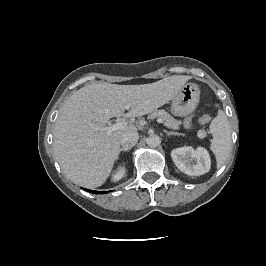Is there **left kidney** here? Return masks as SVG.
<instances>
[{
    "mask_svg": "<svg viewBox=\"0 0 266 266\" xmlns=\"http://www.w3.org/2000/svg\"><path fill=\"white\" fill-rule=\"evenodd\" d=\"M171 157L178 169L187 175L199 176L210 170V156L203 147L196 150L190 146L176 148L172 150Z\"/></svg>",
    "mask_w": 266,
    "mask_h": 266,
    "instance_id": "1",
    "label": "left kidney"
}]
</instances>
